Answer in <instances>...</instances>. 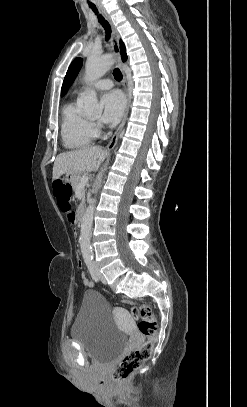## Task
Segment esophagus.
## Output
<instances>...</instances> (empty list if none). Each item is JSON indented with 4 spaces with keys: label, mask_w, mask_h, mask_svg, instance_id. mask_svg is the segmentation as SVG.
I'll list each match as a JSON object with an SVG mask.
<instances>
[{
    "label": "esophagus",
    "mask_w": 247,
    "mask_h": 407,
    "mask_svg": "<svg viewBox=\"0 0 247 407\" xmlns=\"http://www.w3.org/2000/svg\"><path fill=\"white\" fill-rule=\"evenodd\" d=\"M101 10H102L105 18L109 22V24L111 26V29H112V50H113V54H114V58H115V64H116V66L118 68L122 69V60H121L120 46H119V39H120L119 33H118L117 29H116V26L113 24L109 14L103 8ZM123 86H124V90H125L126 97H127L126 107H125V110H124L122 121H121L120 125L118 126L117 130L115 131L114 135L112 136L111 140L109 141V143H108V145L106 147V149H108V150H111V149H113L115 147V145L117 143V140H118V137H119V134L122 131L124 125H125L127 115H128V112H129V107H130V102H131V95H130V92H129L128 83H127V80H126L125 76H124Z\"/></svg>",
    "instance_id": "obj_1"
}]
</instances>
